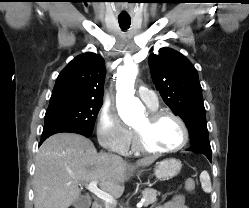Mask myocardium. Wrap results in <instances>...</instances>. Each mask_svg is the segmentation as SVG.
<instances>
[{"label":"myocardium","instance_id":"1","mask_svg":"<svg viewBox=\"0 0 249 208\" xmlns=\"http://www.w3.org/2000/svg\"><path fill=\"white\" fill-rule=\"evenodd\" d=\"M165 117L174 119L180 125L182 129V133H183V139L181 143L177 145L176 147L170 148V149H154L145 143L142 131L134 129V145L138 151L145 153V154L162 155V154L178 152L187 145L189 141V137H190L189 130H188L186 123L180 116L168 110H150L147 113V119H148L149 125H154L160 119L165 118Z\"/></svg>","mask_w":249,"mask_h":208}]
</instances>
